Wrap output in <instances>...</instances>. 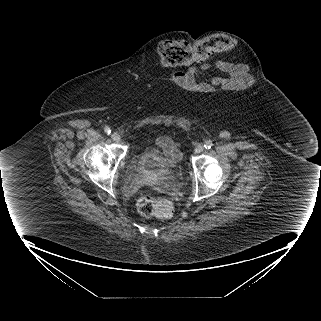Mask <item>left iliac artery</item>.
Listing matches in <instances>:
<instances>
[{"mask_svg":"<svg viewBox=\"0 0 321 321\" xmlns=\"http://www.w3.org/2000/svg\"><path fill=\"white\" fill-rule=\"evenodd\" d=\"M213 146V143H212V141H206L205 142V144H204V147L206 148V149H210L211 147Z\"/></svg>","mask_w":321,"mask_h":321,"instance_id":"1","label":"left iliac artery"}]
</instances>
